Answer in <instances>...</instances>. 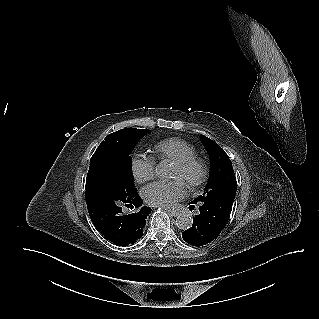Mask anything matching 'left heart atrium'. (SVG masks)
Listing matches in <instances>:
<instances>
[{
  "label": "left heart atrium",
  "mask_w": 319,
  "mask_h": 319,
  "mask_svg": "<svg viewBox=\"0 0 319 319\" xmlns=\"http://www.w3.org/2000/svg\"><path fill=\"white\" fill-rule=\"evenodd\" d=\"M185 192L182 180L157 181L146 186L142 190L144 200L153 206L171 207L180 200Z\"/></svg>",
  "instance_id": "1"
}]
</instances>
